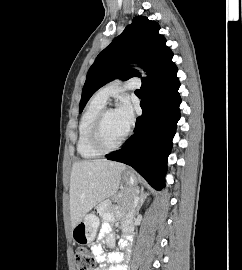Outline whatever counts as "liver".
<instances>
[{"label": "liver", "mask_w": 242, "mask_h": 270, "mask_svg": "<svg viewBox=\"0 0 242 270\" xmlns=\"http://www.w3.org/2000/svg\"><path fill=\"white\" fill-rule=\"evenodd\" d=\"M122 163L96 159L73 164L70 179V216L72 228L98 203L118 191Z\"/></svg>", "instance_id": "obj_1"}]
</instances>
